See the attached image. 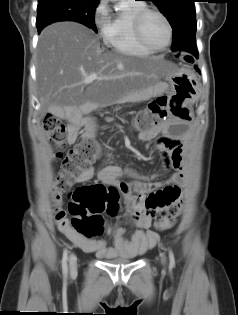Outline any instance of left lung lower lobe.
Masks as SVG:
<instances>
[{
  "mask_svg": "<svg viewBox=\"0 0 238 315\" xmlns=\"http://www.w3.org/2000/svg\"><path fill=\"white\" fill-rule=\"evenodd\" d=\"M172 51H187L192 53L196 58H198V51L195 42H189L183 39H174V43L171 48Z\"/></svg>",
  "mask_w": 238,
  "mask_h": 315,
  "instance_id": "left-lung-lower-lobe-1",
  "label": "left lung lower lobe"
}]
</instances>
